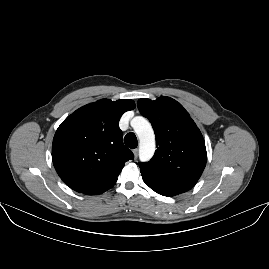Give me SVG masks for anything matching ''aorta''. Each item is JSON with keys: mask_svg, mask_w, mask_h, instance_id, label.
<instances>
[{"mask_svg": "<svg viewBox=\"0 0 269 269\" xmlns=\"http://www.w3.org/2000/svg\"><path fill=\"white\" fill-rule=\"evenodd\" d=\"M131 125L139 138V159L149 161L155 152V134L148 120L142 116L132 119Z\"/></svg>", "mask_w": 269, "mask_h": 269, "instance_id": "762f6f07", "label": "aorta"}]
</instances>
